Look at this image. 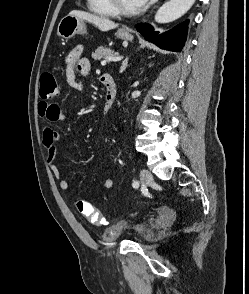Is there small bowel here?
<instances>
[{"label":"small bowel","mask_w":249,"mask_h":294,"mask_svg":"<svg viewBox=\"0 0 249 294\" xmlns=\"http://www.w3.org/2000/svg\"><path fill=\"white\" fill-rule=\"evenodd\" d=\"M83 46L77 45L68 54L65 68L67 83L74 89H81L82 85L79 82L77 75L89 76L91 71L90 61L82 57ZM38 112L41 118L46 122L43 132V144L47 151V158L50 164L52 174L58 181L61 190L69 189V182L65 179L62 171L56 165L55 160L58 155L57 142L61 139V135L55 131L53 124L61 123L68 117V112L63 110L59 105L54 103L40 102ZM103 186L110 189L113 186L111 178L106 177L103 180ZM162 219L168 220L173 216L172 211H162Z\"/></svg>","instance_id":"obj_1"}]
</instances>
